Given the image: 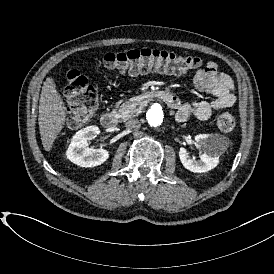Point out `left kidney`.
Returning a JSON list of instances; mask_svg holds the SVG:
<instances>
[{
  "mask_svg": "<svg viewBox=\"0 0 274 274\" xmlns=\"http://www.w3.org/2000/svg\"><path fill=\"white\" fill-rule=\"evenodd\" d=\"M196 147L203 153L199 160L193 159L184 147L179 150V158L183 166L191 172L202 173L215 168L219 157L226 150L224 137L219 134H198L194 138Z\"/></svg>",
  "mask_w": 274,
  "mask_h": 274,
  "instance_id": "obj_1",
  "label": "left kidney"
}]
</instances>
